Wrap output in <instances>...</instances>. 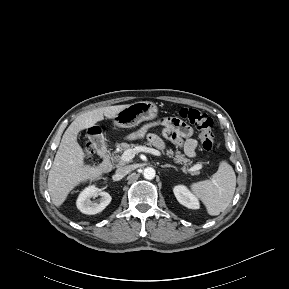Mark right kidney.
<instances>
[{"instance_id":"ca27d5eb","label":"right kidney","mask_w":289,"mask_h":289,"mask_svg":"<svg viewBox=\"0 0 289 289\" xmlns=\"http://www.w3.org/2000/svg\"><path fill=\"white\" fill-rule=\"evenodd\" d=\"M100 196L99 202H92L91 198ZM109 193L101 191L95 186L85 188L79 195L76 205L84 214L94 215L103 211L111 202Z\"/></svg>"}]
</instances>
